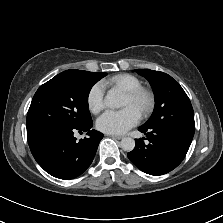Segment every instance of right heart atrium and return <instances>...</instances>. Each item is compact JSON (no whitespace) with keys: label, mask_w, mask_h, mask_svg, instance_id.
Returning a JSON list of instances; mask_svg holds the SVG:
<instances>
[{"label":"right heart atrium","mask_w":223,"mask_h":223,"mask_svg":"<svg viewBox=\"0 0 223 223\" xmlns=\"http://www.w3.org/2000/svg\"><path fill=\"white\" fill-rule=\"evenodd\" d=\"M104 93L105 84L102 82L95 83L89 89L87 94V106L92 113L96 114L104 108Z\"/></svg>","instance_id":"right-heart-atrium-1"}]
</instances>
